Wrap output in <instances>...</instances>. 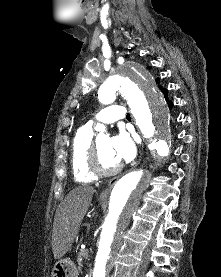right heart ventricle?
Segmentation results:
<instances>
[{
    "label": "right heart ventricle",
    "mask_w": 221,
    "mask_h": 277,
    "mask_svg": "<svg viewBox=\"0 0 221 277\" xmlns=\"http://www.w3.org/2000/svg\"><path fill=\"white\" fill-rule=\"evenodd\" d=\"M93 142V130L81 127L75 134L71 149V167L74 180L78 183H91L95 180L88 168V156Z\"/></svg>",
    "instance_id": "right-heart-ventricle-1"
}]
</instances>
